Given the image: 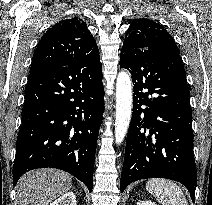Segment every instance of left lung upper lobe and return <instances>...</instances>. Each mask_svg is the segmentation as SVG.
<instances>
[{
    "label": "left lung upper lobe",
    "mask_w": 212,
    "mask_h": 205,
    "mask_svg": "<svg viewBox=\"0 0 212 205\" xmlns=\"http://www.w3.org/2000/svg\"><path fill=\"white\" fill-rule=\"evenodd\" d=\"M148 48H162L179 53L173 37L161 24L147 18L136 19L127 30L120 59Z\"/></svg>",
    "instance_id": "obj_1"
}]
</instances>
